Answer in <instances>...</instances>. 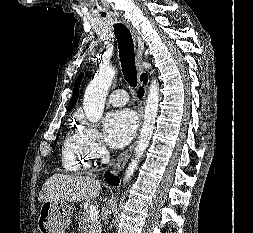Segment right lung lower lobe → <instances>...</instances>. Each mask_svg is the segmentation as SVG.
I'll return each mask as SVG.
<instances>
[{
	"mask_svg": "<svg viewBox=\"0 0 253 233\" xmlns=\"http://www.w3.org/2000/svg\"><path fill=\"white\" fill-rule=\"evenodd\" d=\"M141 79L143 80L144 83H146L147 82V75L143 74ZM143 94H144V89L140 88L139 92H138V96L141 98L143 96ZM105 179L112 186L118 185V183H119V179L116 176H113L112 174H110L109 172L105 173Z\"/></svg>",
	"mask_w": 253,
	"mask_h": 233,
	"instance_id": "right-lung-lower-lobe-1",
	"label": "right lung lower lobe"
}]
</instances>
